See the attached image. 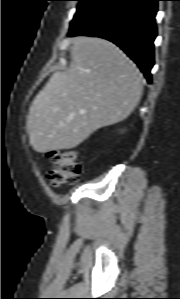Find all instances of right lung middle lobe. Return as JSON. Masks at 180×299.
I'll use <instances>...</instances> for the list:
<instances>
[{"label":"right lung middle lobe","instance_id":"1","mask_svg":"<svg viewBox=\"0 0 180 299\" xmlns=\"http://www.w3.org/2000/svg\"><path fill=\"white\" fill-rule=\"evenodd\" d=\"M79 1L76 14L71 22L73 26L76 22L91 13L97 6H99L105 0H76Z\"/></svg>","mask_w":180,"mask_h":299}]
</instances>
